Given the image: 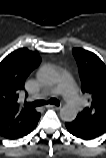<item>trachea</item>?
Masks as SVG:
<instances>
[{
    "mask_svg": "<svg viewBox=\"0 0 106 158\" xmlns=\"http://www.w3.org/2000/svg\"><path fill=\"white\" fill-rule=\"evenodd\" d=\"M48 103L58 105L59 101L57 99H55V98H51L48 101L38 100V101H35V102H32V103L26 104V107L33 108V107L45 105V104H48Z\"/></svg>",
    "mask_w": 106,
    "mask_h": 158,
    "instance_id": "3493384b",
    "label": "trachea"
}]
</instances>
